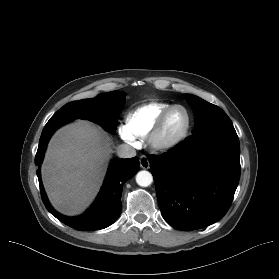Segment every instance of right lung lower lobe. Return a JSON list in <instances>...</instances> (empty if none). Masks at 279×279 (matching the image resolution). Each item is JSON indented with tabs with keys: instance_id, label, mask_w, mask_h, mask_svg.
I'll use <instances>...</instances> for the list:
<instances>
[{
	"instance_id": "98d812e1",
	"label": "right lung lower lobe",
	"mask_w": 279,
	"mask_h": 279,
	"mask_svg": "<svg viewBox=\"0 0 279 279\" xmlns=\"http://www.w3.org/2000/svg\"><path fill=\"white\" fill-rule=\"evenodd\" d=\"M61 125L48 126L43 129L35 156V164L37 166H40L42 163L49 138ZM138 168V157L112 160L104 185L97 199L87 212L78 217L63 216L52 208L42 185L40 168L36 172L39 179L42 201L47 210L58 220L76 230L90 231L106 228L116 221L122 208L120 198L122 196L123 184L137 173Z\"/></svg>"
}]
</instances>
